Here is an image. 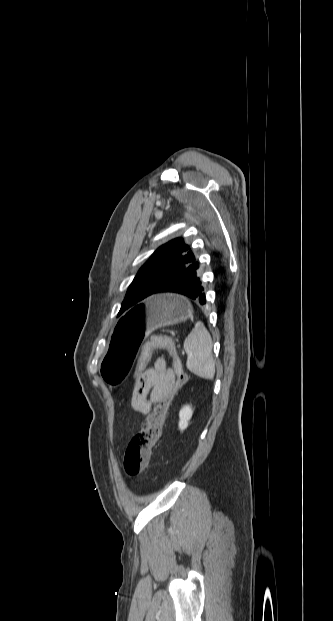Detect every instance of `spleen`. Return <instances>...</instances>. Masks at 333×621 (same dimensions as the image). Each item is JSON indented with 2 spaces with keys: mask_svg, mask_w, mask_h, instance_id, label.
I'll use <instances>...</instances> for the list:
<instances>
[{
  "mask_svg": "<svg viewBox=\"0 0 333 621\" xmlns=\"http://www.w3.org/2000/svg\"><path fill=\"white\" fill-rule=\"evenodd\" d=\"M212 339L202 323L192 329L184 341L183 348L187 353V369L196 376L213 379L215 361L212 355Z\"/></svg>",
  "mask_w": 333,
  "mask_h": 621,
  "instance_id": "spleen-1",
  "label": "spleen"
}]
</instances>
